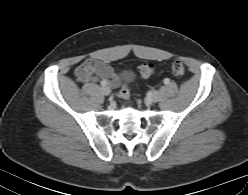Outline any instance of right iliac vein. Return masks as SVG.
<instances>
[{
    "label": "right iliac vein",
    "mask_w": 248,
    "mask_h": 195,
    "mask_svg": "<svg viewBox=\"0 0 248 195\" xmlns=\"http://www.w3.org/2000/svg\"><path fill=\"white\" fill-rule=\"evenodd\" d=\"M101 91H102V93L104 94V95H109L110 94V92H111V90H110V88L108 87V86H103L102 88H101Z\"/></svg>",
    "instance_id": "63e3f726"
}]
</instances>
